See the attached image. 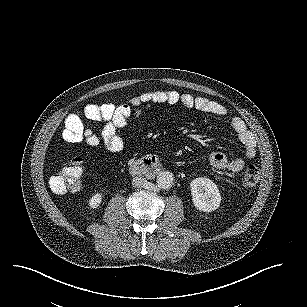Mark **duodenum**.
Listing matches in <instances>:
<instances>
[{"instance_id": "1", "label": "duodenum", "mask_w": 307, "mask_h": 307, "mask_svg": "<svg viewBox=\"0 0 307 307\" xmlns=\"http://www.w3.org/2000/svg\"><path fill=\"white\" fill-rule=\"evenodd\" d=\"M129 169L133 175L152 178L159 174L161 164L155 156H147L133 161Z\"/></svg>"}]
</instances>
